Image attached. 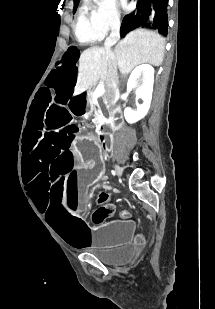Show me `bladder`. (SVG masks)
Here are the masks:
<instances>
[{"label":"bladder","mask_w":215,"mask_h":309,"mask_svg":"<svg viewBox=\"0 0 215 309\" xmlns=\"http://www.w3.org/2000/svg\"><path fill=\"white\" fill-rule=\"evenodd\" d=\"M136 253L135 246L132 244L124 245L114 252L99 254L98 258L109 265H124L130 262Z\"/></svg>","instance_id":"31cf9c89"}]
</instances>
